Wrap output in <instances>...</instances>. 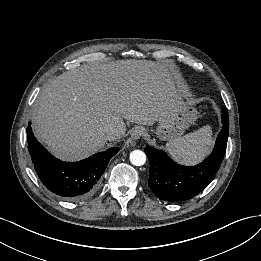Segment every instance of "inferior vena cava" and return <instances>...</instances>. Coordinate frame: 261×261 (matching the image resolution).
<instances>
[{
	"label": "inferior vena cava",
	"mask_w": 261,
	"mask_h": 261,
	"mask_svg": "<svg viewBox=\"0 0 261 261\" xmlns=\"http://www.w3.org/2000/svg\"><path fill=\"white\" fill-rule=\"evenodd\" d=\"M105 134H106V138L108 140H116L120 137V131L113 128V127H108L104 130Z\"/></svg>",
	"instance_id": "inferior-vena-cava-1"
}]
</instances>
